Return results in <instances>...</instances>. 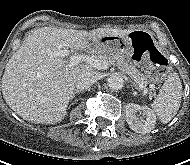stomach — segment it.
<instances>
[{
    "label": "stomach",
    "instance_id": "obj_1",
    "mask_svg": "<svg viewBox=\"0 0 190 165\" xmlns=\"http://www.w3.org/2000/svg\"><path fill=\"white\" fill-rule=\"evenodd\" d=\"M94 50L106 56L121 55L130 58V66L144 72L147 81L159 82L170 70V58L159 51L148 32L124 31L118 36H104L94 43Z\"/></svg>",
    "mask_w": 190,
    "mask_h": 165
}]
</instances>
